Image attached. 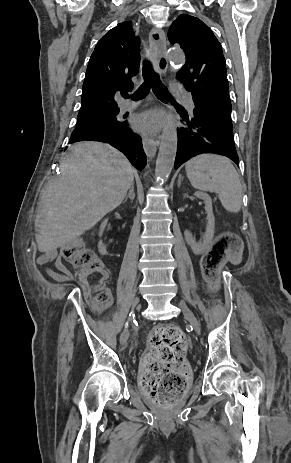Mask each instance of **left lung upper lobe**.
I'll list each match as a JSON object with an SVG mask.
<instances>
[{
  "label": "left lung upper lobe",
  "instance_id": "obj_1",
  "mask_svg": "<svg viewBox=\"0 0 291 463\" xmlns=\"http://www.w3.org/2000/svg\"><path fill=\"white\" fill-rule=\"evenodd\" d=\"M168 39L186 54L177 77L192 93L196 112L232 125L225 58L212 30L198 18L182 14L170 26Z\"/></svg>",
  "mask_w": 291,
  "mask_h": 463
}]
</instances>
